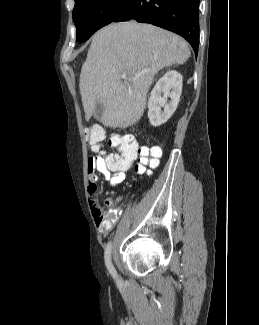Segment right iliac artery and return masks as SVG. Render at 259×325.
I'll list each match as a JSON object with an SVG mask.
<instances>
[{
    "mask_svg": "<svg viewBox=\"0 0 259 325\" xmlns=\"http://www.w3.org/2000/svg\"><path fill=\"white\" fill-rule=\"evenodd\" d=\"M111 251H112V243L109 242L106 246V249H105V255H104V258H105V264H106V267L107 269L109 270L110 274L113 276V277H116V271L113 267V264L111 262Z\"/></svg>",
    "mask_w": 259,
    "mask_h": 325,
    "instance_id": "right-iliac-artery-1",
    "label": "right iliac artery"
}]
</instances>
